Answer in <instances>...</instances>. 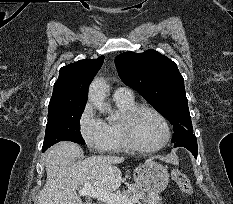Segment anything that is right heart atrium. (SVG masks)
Returning a JSON list of instances; mask_svg holds the SVG:
<instances>
[{
    "instance_id": "right-heart-atrium-1",
    "label": "right heart atrium",
    "mask_w": 233,
    "mask_h": 204,
    "mask_svg": "<svg viewBox=\"0 0 233 204\" xmlns=\"http://www.w3.org/2000/svg\"><path fill=\"white\" fill-rule=\"evenodd\" d=\"M79 130L90 150L105 152L110 149V139L105 121L97 115L91 103H87L81 112Z\"/></svg>"
}]
</instances>
